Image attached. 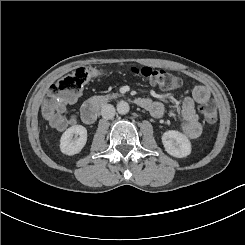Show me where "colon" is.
Returning a JSON list of instances; mask_svg holds the SVG:
<instances>
[{
    "label": "colon",
    "instance_id": "5ec220e1",
    "mask_svg": "<svg viewBox=\"0 0 245 245\" xmlns=\"http://www.w3.org/2000/svg\"><path fill=\"white\" fill-rule=\"evenodd\" d=\"M104 72L102 69L80 67L63 75L52 84L50 93L43 103V113L50 114L53 112L59 101L75 97L92 78ZM128 72L140 76L151 84L165 90L176 88L180 84L177 76L163 69H154L147 66L130 67ZM199 110L206 122H216L217 111L213 102L205 101L200 103Z\"/></svg>",
    "mask_w": 245,
    "mask_h": 245
}]
</instances>
